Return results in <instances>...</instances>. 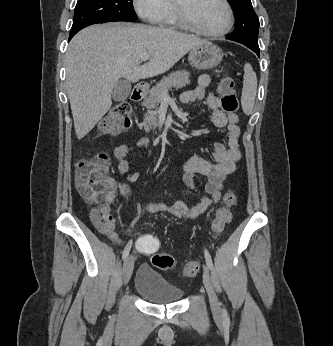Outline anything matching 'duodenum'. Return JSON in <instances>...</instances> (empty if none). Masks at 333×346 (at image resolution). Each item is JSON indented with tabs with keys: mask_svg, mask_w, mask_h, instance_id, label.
<instances>
[{
	"mask_svg": "<svg viewBox=\"0 0 333 346\" xmlns=\"http://www.w3.org/2000/svg\"><path fill=\"white\" fill-rule=\"evenodd\" d=\"M146 94V87L143 85H138L134 88L132 99L134 101H140L144 98Z\"/></svg>",
	"mask_w": 333,
	"mask_h": 346,
	"instance_id": "1",
	"label": "duodenum"
}]
</instances>
